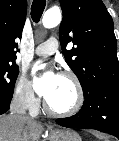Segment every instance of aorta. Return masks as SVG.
Returning a JSON list of instances; mask_svg holds the SVG:
<instances>
[{"label":"aorta","mask_w":119,"mask_h":141,"mask_svg":"<svg viewBox=\"0 0 119 141\" xmlns=\"http://www.w3.org/2000/svg\"><path fill=\"white\" fill-rule=\"evenodd\" d=\"M61 12L58 9H49L45 12L42 24L45 28H53L61 22Z\"/></svg>","instance_id":"762f6f07"}]
</instances>
